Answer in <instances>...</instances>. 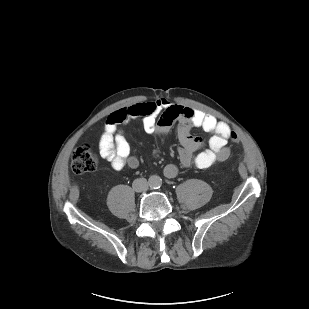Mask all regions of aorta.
I'll return each mask as SVG.
<instances>
[{
    "mask_svg": "<svg viewBox=\"0 0 309 309\" xmlns=\"http://www.w3.org/2000/svg\"><path fill=\"white\" fill-rule=\"evenodd\" d=\"M148 182H149L150 187L158 188L162 184V179L157 175H152L149 177Z\"/></svg>",
    "mask_w": 309,
    "mask_h": 309,
    "instance_id": "762f6f07",
    "label": "aorta"
}]
</instances>
